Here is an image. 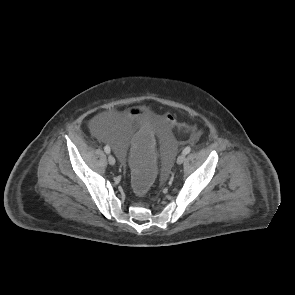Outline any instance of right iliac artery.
Masks as SVG:
<instances>
[{"label":"right iliac artery","mask_w":295,"mask_h":295,"mask_svg":"<svg viewBox=\"0 0 295 295\" xmlns=\"http://www.w3.org/2000/svg\"><path fill=\"white\" fill-rule=\"evenodd\" d=\"M104 151H105L107 154L110 153V151H111V150H110V147L106 145V146L104 147Z\"/></svg>","instance_id":"1"}]
</instances>
